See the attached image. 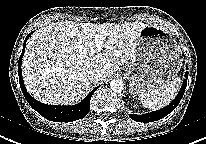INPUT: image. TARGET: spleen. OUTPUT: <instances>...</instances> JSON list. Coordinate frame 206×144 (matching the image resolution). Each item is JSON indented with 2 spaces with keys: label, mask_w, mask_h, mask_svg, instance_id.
Wrapping results in <instances>:
<instances>
[{
  "label": "spleen",
  "mask_w": 206,
  "mask_h": 144,
  "mask_svg": "<svg viewBox=\"0 0 206 144\" xmlns=\"http://www.w3.org/2000/svg\"><path fill=\"white\" fill-rule=\"evenodd\" d=\"M180 83V78H172L160 88L141 94L139 100L148 109L157 110L163 108L175 98Z\"/></svg>",
  "instance_id": "3e777b00"
}]
</instances>
